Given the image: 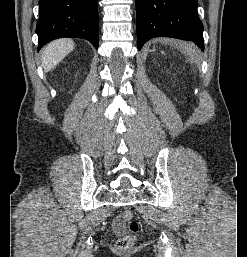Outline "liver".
<instances>
[{"label": "liver", "instance_id": "1", "mask_svg": "<svg viewBox=\"0 0 247 257\" xmlns=\"http://www.w3.org/2000/svg\"><path fill=\"white\" fill-rule=\"evenodd\" d=\"M74 49L71 39H58L49 43L43 50L41 56L42 67L45 72L53 69Z\"/></svg>", "mask_w": 247, "mask_h": 257}]
</instances>
